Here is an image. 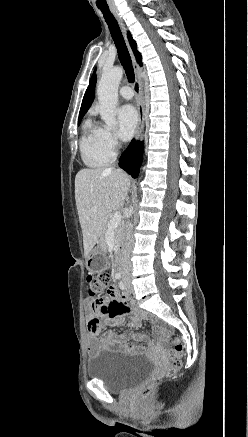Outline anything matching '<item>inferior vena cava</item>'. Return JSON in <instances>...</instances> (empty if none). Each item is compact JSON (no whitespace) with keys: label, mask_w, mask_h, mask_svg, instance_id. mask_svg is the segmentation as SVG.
Returning a JSON list of instances; mask_svg holds the SVG:
<instances>
[{"label":"inferior vena cava","mask_w":248,"mask_h":437,"mask_svg":"<svg viewBox=\"0 0 248 437\" xmlns=\"http://www.w3.org/2000/svg\"><path fill=\"white\" fill-rule=\"evenodd\" d=\"M134 245V237L132 234V223H126V241L123 248V265L127 268L131 267L130 253Z\"/></svg>","instance_id":"inferior-vena-cava-1"}]
</instances>
